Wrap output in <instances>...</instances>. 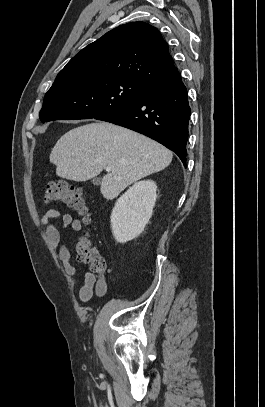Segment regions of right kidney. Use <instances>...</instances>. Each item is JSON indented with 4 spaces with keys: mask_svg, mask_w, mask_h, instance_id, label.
Returning a JSON list of instances; mask_svg holds the SVG:
<instances>
[{
    "mask_svg": "<svg viewBox=\"0 0 265 407\" xmlns=\"http://www.w3.org/2000/svg\"><path fill=\"white\" fill-rule=\"evenodd\" d=\"M157 185L152 180L135 183L115 203L111 228L118 243L133 240L144 230L153 213Z\"/></svg>",
    "mask_w": 265,
    "mask_h": 407,
    "instance_id": "ca27d5eb",
    "label": "right kidney"
}]
</instances>
